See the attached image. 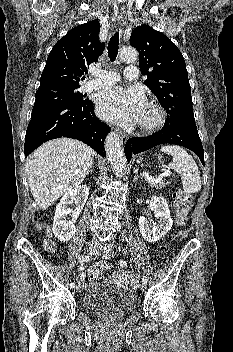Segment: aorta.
<instances>
[{"instance_id":"762f6f07","label":"aorta","mask_w":233,"mask_h":352,"mask_svg":"<svg viewBox=\"0 0 233 352\" xmlns=\"http://www.w3.org/2000/svg\"><path fill=\"white\" fill-rule=\"evenodd\" d=\"M137 57L138 54L134 48H123L120 51V58L124 61H135ZM105 149L113 172L117 177H121L126 170L127 160L117 133L110 132L107 135Z\"/></svg>"}]
</instances>
